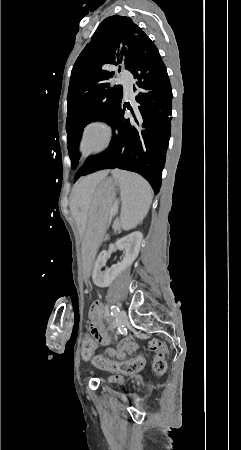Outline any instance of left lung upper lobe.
Returning <instances> with one entry per match:
<instances>
[{
  "instance_id": "left-lung-upper-lobe-1",
  "label": "left lung upper lobe",
  "mask_w": 241,
  "mask_h": 450,
  "mask_svg": "<svg viewBox=\"0 0 241 450\" xmlns=\"http://www.w3.org/2000/svg\"><path fill=\"white\" fill-rule=\"evenodd\" d=\"M153 46L130 18L114 15L102 21L78 56L67 96L66 131L73 169L79 160L77 145L83 127L98 119L110 122L122 103L123 88L109 83L115 73L107 65L125 64L129 69L133 60Z\"/></svg>"
}]
</instances>
